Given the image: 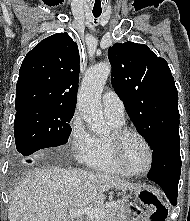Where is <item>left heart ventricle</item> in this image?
Listing matches in <instances>:
<instances>
[{"label": "left heart ventricle", "mask_w": 190, "mask_h": 221, "mask_svg": "<svg viewBox=\"0 0 190 221\" xmlns=\"http://www.w3.org/2000/svg\"><path fill=\"white\" fill-rule=\"evenodd\" d=\"M125 164L133 171H143L148 165L149 155L144 143L136 136L126 137L122 147Z\"/></svg>", "instance_id": "obj_1"}]
</instances>
